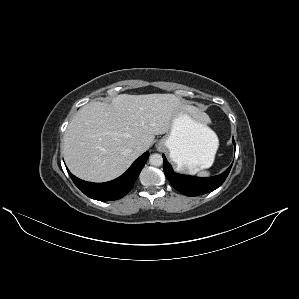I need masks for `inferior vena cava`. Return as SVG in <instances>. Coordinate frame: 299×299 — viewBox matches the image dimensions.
Returning a JSON list of instances; mask_svg holds the SVG:
<instances>
[{
  "mask_svg": "<svg viewBox=\"0 0 299 299\" xmlns=\"http://www.w3.org/2000/svg\"><path fill=\"white\" fill-rule=\"evenodd\" d=\"M135 150L138 152V153H143L146 148L145 146L142 144V143H138L136 146H135Z\"/></svg>",
  "mask_w": 299,
  "mask_h": 299,
  "instance_id": "1",
  "label": "inferior vena cava"
}]
</instances>
